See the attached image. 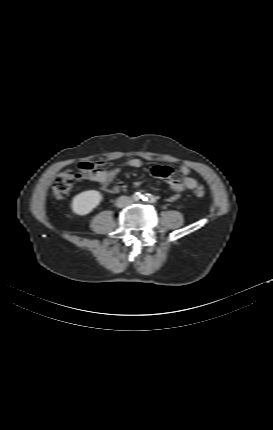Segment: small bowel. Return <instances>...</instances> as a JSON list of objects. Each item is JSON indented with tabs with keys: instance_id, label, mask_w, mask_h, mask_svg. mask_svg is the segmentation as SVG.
<instances>
[{
	"instance_id": "1",
	"label": "small bowel",
	"mask_w": 273,
	"mask_h": 430,
	"mask_svg": "<svg viewBox=\"0 0 273 430\" xmlns=\"http://www.w3.org/2000/svg\"><path fill=\"white\" fill-rule=\"evenodd\" d=\"M125 165L131 168H140L143 162L141 159L131 158L125 162ZM78 170L84 179L98 183L106 193L116 194L126 187L122 181L110 186L111 181L120 172V169L117 167L103 169L101 163L81 162L78 164ZM179 171L183 175L182 179H173V171L168 166H156L151 169L153 176L163 178L169 184L171 188V194L168 197L169 202L178 200L185 190H194L198 186V181L189 176L190 169L187 166H180Z\"/></svg>"
}]
</instances>
